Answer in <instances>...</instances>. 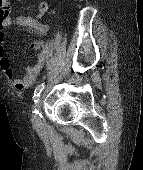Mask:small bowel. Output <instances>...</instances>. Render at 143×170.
Here are the masks:
<instances>
[{
    "label": "small bowel",
    "instance_id": "obj_1",
    "mask_svg": "<svg viewBox=\"0 0 143 170\" xmlns=\"http://www.w3.org/2000/svg\"><path fill=\"white\" fill-rule=\"evenodd\" d=\"M47 10L48 4L43 1L38 4L37 12L34 16L8 15L7 17L0 19V66L2 67L5 75L12 81L13 86L17 90L26 89L33 84L34 80L40 74L43 68L46 56L40 55L37 62L26 69L22 78H16L15 71L5 56L3 49V43L6 37L5 29L12 26H19L25 28L31 33L45 34L48 31V26L40 24L38 19L45 15Z\"/></svg>",
    "mask_w": 143,
    "mask_h": 170
}]
</instances>
